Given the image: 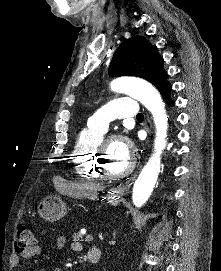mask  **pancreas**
<instances>
[{
  "label": "pancreas",
  "mask_w": 221,
  "mask_h": 271,
  "mask_svg": "<svg viewBox=\"0 0 221 271\" xmlns=\"http://www.w3.org/2000/svg\"><path fill=\"white\" fill-rule=\"evenodd\" d=\"M75 235H77V237H73V242H82V237H80L81 233H75Z\"/></svg>",
  "instance_id": "1"
}]
</instances>
